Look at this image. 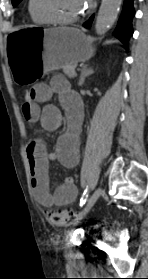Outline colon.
I'll return each mask as SVG.
<instances>
[{
	"mask_svg": "<svg viewBox=\"0 0 148 279\" xmlns=\"http://www.w3.org/2000/svg\"><path fill=\"white\" fill-rule=\"evenodd\" d=\"M34 99L33 88H29L24 93V100L26 104H30ZM47 220L53 224L61 225L70 220L74 213L71 210H55L48 209L45 211Z\"/></svg>",
	"mask_w": 148,
	"mask_h": 279,
	"instance_id": "colon-1",
	"label": "colon"
}]
</instances>
